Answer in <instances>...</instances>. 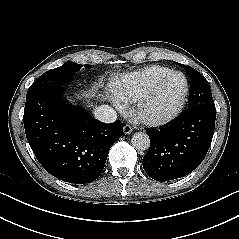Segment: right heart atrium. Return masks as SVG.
Masks as SVG:
<instances>
[{
    "mask_svg": "<svg viewBox=\"0 0 239 239\" xmlns=\"http://www.w3.org/2000/svg\"><path fill=\"white\" fill-rule=\"evenodd\" d=\"M115 104L117 105V107H119L120 105H119V103L115 100Z\"/></svg>",
    "mask_w": 239,
    "mask_h": 239,
    "instance_id": "1",
    "label": "right heart atrium"
}]
</instances>
